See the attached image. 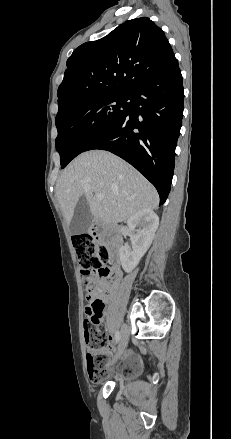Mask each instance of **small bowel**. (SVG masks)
Instances as JSON below:
<instances>
[{
	"label": "small bowel",
	"mask_w": 231,
	"mask_h": 439,
	"mask_svg": "<svg viewBox=\"0 0 231 439\" xmlns=\"http://www.w3.org/2000/svg\"><path fill=\"white\" fill-rule=\"evenodd\" d=\"M114 274L116 276H118L119 275L118 270H115ZM90 282L92 283L93 287L91 290L87 291V294H86L87 301H93V300L98 299L103 304H105V302L107 301L108 295L105 293V289L102 290L98 287L99 279L95 275H92L90 277ZM85 314L88 317V319L85 320L84 327L87 324V322L93 317V312H92L90 307L85 310ZM103 316H104V309H103V312L98 316V321L101 325H102ZM107 350H108V344L106 346H104L103 348L96 350L95 353H106Z\"/></svg>",
	"instance_id": "1"
}]
</instances>
